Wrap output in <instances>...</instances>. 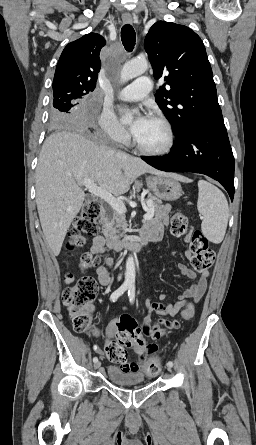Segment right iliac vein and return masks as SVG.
I'll use <instances>...</instances> for the list:
<instances>
[{
	"mask_svg": "<svg viewBox=\"0 0 256 445\" xmlns=\"http://www.w3.org/2000/svg\"><path fill=\"white\" fill-rule=\"evenodd\" d=\"M100 367H101V362L100 361H97V362L94 363V368L95 369H99Z\"/></svg>",
	"mask_w": 256,
	"mask_h": 445,
	"instance_id": "63e3f726",
	"label": "right iliac vein"
}]
</instances>
